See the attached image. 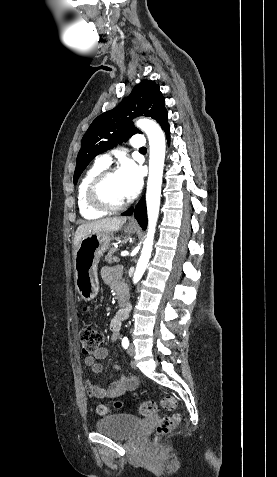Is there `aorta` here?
Here are the masks:
<instances>
[{
  "mask_svg": "<svg viewBox=\"0 0 277 477\" xmlns=\"http://www.w3.org/2000/svg\"><path fill=\"white\" fill-rule=\"evenodd\" d=\"M136 125L147 134L150 146V157L146 191L148 228L141 256L133 276L134 283H137L143 276L151 257L155 228L160 208L161 184L166 148L165 135L161 127L155 121L140 119L136 122Z\"/></svg>",
  "mask_w": 277,
  "mask_h": 477,
  "instance_id": "aorta-1",
  "label": "aorta"
}]
</instances>
